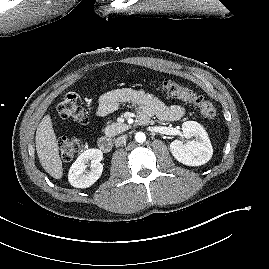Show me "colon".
Listing matches in <instances>:
<instances>
[{
    "mask_svg": "<svg viewBox=\"0 0 269 269\" xmlns=\"http://www.w3.org/2000/svg\"><path fill=\"white\" fill-rule=\"evenodd\" d=\"M160 88L166 95L191 104L197 108L204 117L213 118L216 115V108L211 102L174 80L168 78L162 79L160 81ZM57 112L63 119H73L82 124L88 121L85 110L79 103L77 94L73 91H69L64 95L57 106ZM58 145L61 156L65 161L72 160L82 148L80 140L65 136L59 139Z\"/></svg>",
    "mask_w": 269,
    "mask_h": 269,
    "instance_id": "5ec220e1",
    "label": "colon"
}]
</instances>
